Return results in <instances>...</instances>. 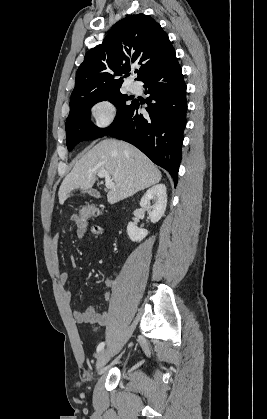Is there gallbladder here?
I'll list each match as a JSON object with an SVG mask.
<instances>
[{"label": "gallbladder", "instance_id": "bac80fb5", "mask_svg": "<svg viewBox=\"0 0 267 419\" xmlns=\"http://www.w3.org/2000/svg\"><path fill=\"white\" fill-rule=\"evenodd\" d=\"M86 191H82V193H85ZM89 194L96 196V197H100L99 193L96 190H89L87 191Z\"/></svg>", "mask_w": 267, "mask_h": 419}]
</instances>
